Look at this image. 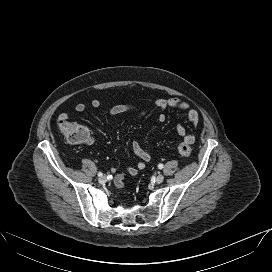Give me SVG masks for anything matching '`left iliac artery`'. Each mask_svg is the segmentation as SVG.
Listing matches in <instances>:
<instances>
[{"mask_svg": "<svg viewBox=\"0 0 272 272\" xmlns=\"http://www.w3.org/2000/svg\"><path fill=\"white\" fill-rule=\"evenodd\" d=\"M158 168H159V169H162V168H163V164H159V165H158Z\"/></svg>", "mask_w": 272, "mask_h": 272, "instance_id": "44dca946", "label": "left iliac artery"}]
</instances>
